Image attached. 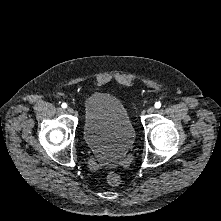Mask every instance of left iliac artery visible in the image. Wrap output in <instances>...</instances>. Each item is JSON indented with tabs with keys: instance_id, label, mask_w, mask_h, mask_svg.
Returning a JSON list of instances; mask_svg holds the SVG:
<instances>
[{
	"instance_id": "44dca946",
	"label": "left iliac artery",
	"mask_w": 221,
	"mask_h": 221,
	"mask_svg": "<svg viewBox=\"0 0 221 221\" xmlns=\"http://www.w3.org/2000/svg\"><path fill=\"white\" fill-rule=\"evenodd\" d=\"M154 106H155V108H160L161 107V103L160 102H156Z\"/></svg>"
}]
</instances>
